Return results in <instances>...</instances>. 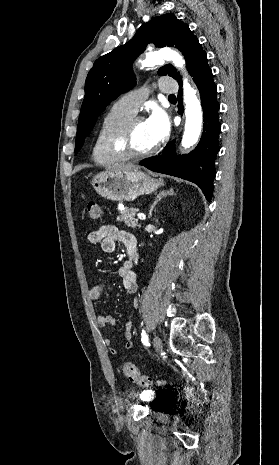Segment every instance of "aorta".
Returning <instances> with one entry per match:
<instances>
[{
    "instance_id": "762f6f07",
    "label": "aorta",
    "mask_w": 279,
    "mask_h": 465,
    "mask_svg": "<svg viewBox=\"0 0 279 465\" xmlns=\"http://www.w3.org/2000/svg\"><path fill=\"white\" fill-rule=\"evenodd\" d=\"M171 60L175 67L184 71L185 61L177 52L165 49L146 56L145 63L150 65L160 60ZM183 93L185 103V130L182 137V147L190 148L197 143L202 129V108L196 91L190 86L188 80L184 78Z\"/></svg>"
}]
</instances>
